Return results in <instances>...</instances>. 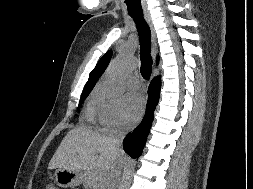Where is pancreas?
<instances>
[{
  "label": "pancreas",
  "mask_w": 253,
  "mask_h": 189,
  "mask_svg": "<svg viewBox=\"0 0 253 189\" xmlns=\"http://www.w3.org/2000/svg\"><path fill=\"white\" fill-rule=\"evenodd\" d=\"M83 183L88 189H104L105 177L96 169H88L84 172Z\"/></svg>",
  "instance_id": "1"
}]
</instances>
